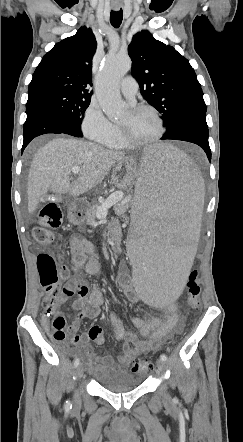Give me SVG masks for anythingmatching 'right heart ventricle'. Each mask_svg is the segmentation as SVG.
<instances>
[{"label":"right heart ventricle","instance_id":"obj_1","mask_svg":"<svg viewBox=\"0 0 243 442\" xmlns=\"http://www.w3.org/2000/svg\"><path fill=\"white\" fill-rule=\"evenodd\" d=\"M103 143L109 147H112V148H124L125 147V145L123 144V142L120 139L119 129L117 126H115L112 135L108 139H106Z\"/></svg>","mask_w":243,"mask_h":442}]
</instances>
